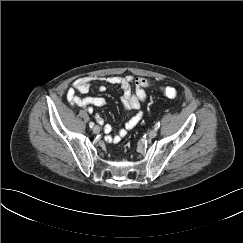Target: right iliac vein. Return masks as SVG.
<instances>
[{
	"instance_id": "obj_1",
	"label": "right iliac vein",
	"mask_w": 243,
	"mask_h": 243,
	"mask_svg": "<svg viewBox=\"0 0 243 243\" xmlns=\"http://www.w3.org/2000/svg\"><path fill=\"white\" fill-rule=\"evenodd\" d=\"M100 132V127L99 126H94L93 127V133L98 134Z\"/></svg>"
}]
</instances>
